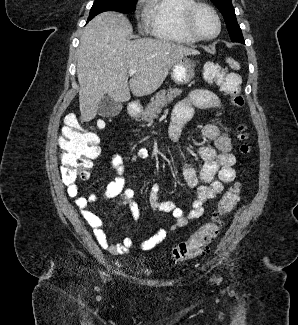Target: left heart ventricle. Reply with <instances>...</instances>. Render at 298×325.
Segmentation results:
<instances>
[{"label":"left heart ventricle","instance_id":"obj_1","mask_svg":"<svg viewBox=\"0 0 298 325\" xmlns=\"http://www.w3.org/2000/svg\"><path fill=\"white\" fill-rule=\"evenodd\" d=\"M192 26L200 37L207 39L213 36L216 30L212 16L204 9L196 12L192 19Z\"/></svg>","mask_w":298,"mask_h":325}]
</instances>
